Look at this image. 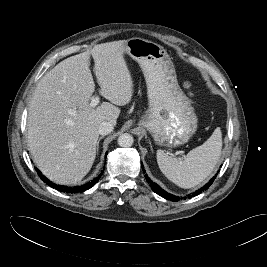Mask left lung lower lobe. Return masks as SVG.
Segmentation results:
<instances>
[{
	"instance_id": "1",
	"label": "left lung lower lobe",
	"mask_w": 267,
	"mask_h": 267,
	"mask_svg": "<svg viewBox=\"0 0 267 267\" xmlns=\"http://www.w3.org/2000/svg\"><path fill=\"white\" fill-rule=\"evenodd\" d=\"M142 169L143 172L145 173V170L143 168V164H142ZM219 172V170H218ZM217 174L206 184L204 185L202 188H200L199 190L195 191L194 193H192L191 195H188V198H191L192 196H196L198 194H200L202 191L207 190L209 188V186L213 183L214 179L216 178ZM147 182L150 184L151 189L157 193L158 195H160L161 197L167 199V200H171V201H178V200H182V198L171 195L169 193H167L166 191H164L159 185H157L156 183H154L153 181L150 180V178L147 176V174L145 175ZM186 199V197L184 198Z\"/></svg>"
}]
</instances>
